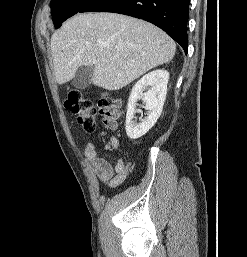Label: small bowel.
I'll return each instance as SVG.
<instances>
[{"mask_svg":"<svg viewBox=\"0 0 247 257\" xmlns=\"http://www.w3.org/2000/svg\"><path fill=\"white\" fill-rule=\"evenodd\" d=\"M119 141L117 138L110 139V147L112 150L119 149ZM84 155L91 164L98 179L106 183L109 188H115L122 184L127 177L128 168L122 160H118L113 166L103 156L100 155L94 143L90 140L85 147Z\"/></svg>","mask_w":247,"mask_h":257,"instance_id":"small-bowel-1","label":"small bowel"}]
</instances>
